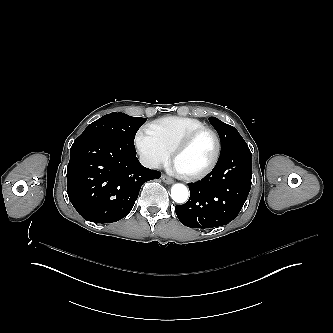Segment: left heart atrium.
<instances>
[{
    "label": "left heart atrium",
    "mask_w": 333,
    "mask_h": 333,
    "mask_svg": "<svg viewBox=\"0 0 333 333\" xmlns=\"http://www.w3.org/2000/svg\"><path fill=\"white\" fill-rule=\"evenodd\" d=\"M169 172L175 176L183 175L182 172L173 164L169 165Z\"/></svg>",
    "instance_id": "39dd6f15"
}]
</instances>
